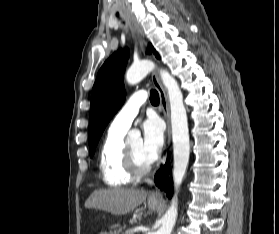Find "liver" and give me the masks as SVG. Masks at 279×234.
<instances>
[{"label": "liver", "mask_w": 279, "mask_h": 234, "mask_svg": "<svg viewBox=\"0 0 279 234\" xmlns=\"http://www.w3.org/2000/svg\"><path fill=\"white\" fill-rule=\"evenodd\" d=\"M148 196L145 190L114 188L96 190L85 202L86 208H95L115 215L133 211Z\"/></svg>", "instance_id": "6515ba94"}]
</instances>
